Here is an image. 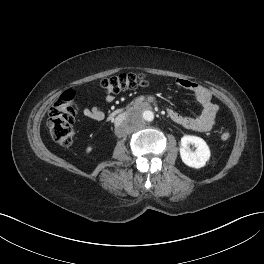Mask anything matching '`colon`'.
Returning <instances> with one entry per match:
<instances>
[{"instance_id":"colon-1","label":"colon","mask_w":264,"mask_h":264,"mask_svg":"<svg viewBox=\"0 0 264 264\" xmlns=\"http://www.w3.org/2000/svg\"><path fill=\"white\" fill-rule=\"evenodd\" d=\"M148 80L137 74H120L101 82V88L106 94H118L122 91L146 87ZM75 93L72 90L65 91L49 112L48 129L55 142L63 146H69L74 136V121L77 107L74 102ZM230 138L228 131L221 133V139L227 141Z\"/></svg>"}]
</instances>
